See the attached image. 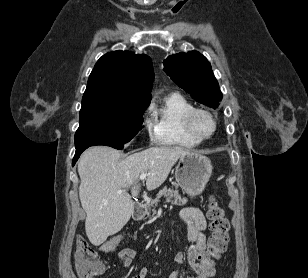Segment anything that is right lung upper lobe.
Returning <instances> with one entry per match:
<instances>
[{
	"label": "right lung upper lobe",
	"instance_id": "obj_1",
	"mask_svg": "<svg viewBox=\"0 0 308 278\" xmlns=\"http://www.w3.org/2000/svg\"><path fill=\"white\" fill-rule=\"evenodd\" d=\"M153 78L152 62L147 55L120 50L103 55L89 76L80 116L149 105Z\"/></svg>",
	"mask_w": 308,
	"mask_h": 278
}]
</instances>
